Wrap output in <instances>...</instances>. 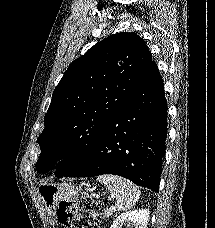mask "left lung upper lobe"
I'll list each match as a JSON object with an SVG mask.
<instances>
[{
    "mask_svg": "<svg viewBox=\"0 0 215 228\" xmlns=\"http://www.w3.org/2000/svg\"><path fill=\"white\" fill-rule=\"evenodd\" d=\"M151 52L135 33L110 35L74 60L55 88L38 137V173L69 172L97 141L113 115L152 66Z\"/></svg>",
    "mask_w": 215,
    "mask_h": 228,
    "instance_id": "obj_1",
    "label": "left lung upper lobe"
}]
</instances>
